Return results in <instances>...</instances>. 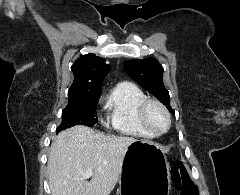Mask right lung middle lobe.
<instances>
[{
	"label": "right lung middle lobe",
	"mask_w": 240,
	"mask_h": 195,
	"mask_svg": "<svg viewBox=\"0 0 240 195\" xmlns=\"http://www.w3.org/2000/svg\"><path fill=\"white\" fill-rule=\"evenodd\" d=\"M99 97L68 99V105L62 111V123L58 132L74 125L93 126L97 123V103Z\"/></svg>",
	"instance_id": "dd1d6c3e"
}]
</instances>
